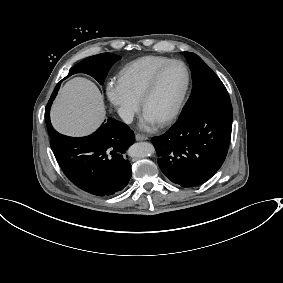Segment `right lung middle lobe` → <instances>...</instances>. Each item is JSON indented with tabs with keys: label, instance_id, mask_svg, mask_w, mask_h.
<instances>
[{
	"label": "right lung middle lobe",
	"instance_id": "1",
	"mask_svg": "<svg viewBox=\"0 0 283 283\" xmlns=\"http://www.w3.org/2000/svg\"><path fill=\"white\" fill-rule=\"evenodd\" d=\"M119 59H121V56L112 53L90 56L73 66L64 79L75 73H86L103 84L109 69Z\"/></svg>",
	"mask_w": 283,
	"mask_h": 283
}]
</instances>
